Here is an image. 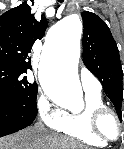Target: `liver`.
Returning <instances> with one entry per match:
<instances>
[{
  "instance_id": "1",
  "label": "liver",
  "mask_w": 124,
  "mask_h": 149,
  "mask_svg": "<svg viewBox=\"0 0 124 149\" xmlns=\"http://www.w3.org/2000/svg\"><path fill=\"white\" fill-rule=\"evenodd\" d=\"M0 149H87L66 137L48 133L41 127H30L16 134L0 138Z\"/></svg>"
}]
</instances>
